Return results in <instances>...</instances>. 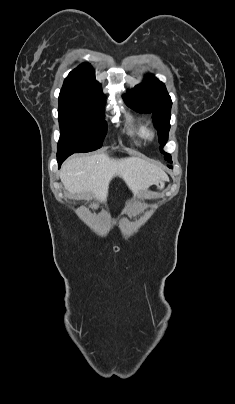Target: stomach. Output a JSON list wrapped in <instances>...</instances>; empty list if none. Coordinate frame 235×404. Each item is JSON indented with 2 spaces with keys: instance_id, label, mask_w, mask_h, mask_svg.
Returning a JSON list of instances; mask_svg holds the SVG:
<instances>
[{
  "instance_id": "obj_1",
  "label": "stomach",
  "mask_w": 235,
  "mask_h": 404,
  "mask_svg": "<svg viewBox=\"0 0 235 404\" xmlns=\"http://www.w3.org/2000/svg\"><path fill=\"white\" fill-rule=\"evenodd\" d=\"M156 186H157V188H158L159 190H162V189L164 188V186H165V182H163V181H158V182L156 183Z\"/></svg>"
}]
</instances>
